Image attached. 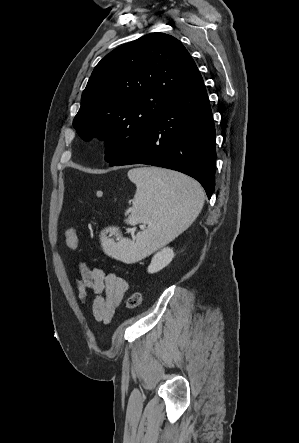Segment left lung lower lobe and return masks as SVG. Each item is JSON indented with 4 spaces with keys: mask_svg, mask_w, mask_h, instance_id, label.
Returning <instances> with one entry per match:
<instances>
[{
    "mask_svg": "<svg viewBox=\"0 0 299 443\" xmlns=\"http://www.w3.org/2000/svg\"><path fill=\"white\" fill-rule=\"evenodd\" d=\"M215 136L207 92L197 70L113 166L147 164L180 171L200 182L210 199L215 187Z\"/></svg>",
    "mask_w": 299,
    "mask_h": 443,
    "instance_id": "obj_1",
    "label": "left lung lower lobe"
}]
</instances>
